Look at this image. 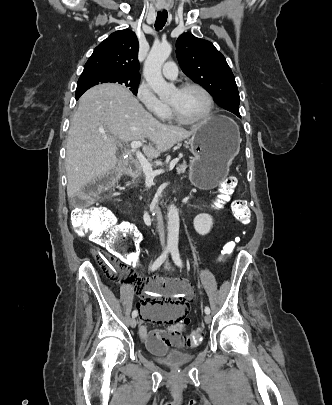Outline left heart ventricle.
<instances>
[{
  "label": "left heart ventricle",
  "instance_id": "obj_1",
  "mask_svg": "<svg viewBox=\"0 0 332 405\" xmlns=\"http://www.w3.org/2000/svg\"><path fill=\"white\" fill-rule=\"evenodd\" d=\"M182 117L186 119H196L202 116L208 107L205 95L197 89L185 91L174 90L168 99Z\"/></svg>",
  "mask_w": 332,
  "mask_h": 405
}]
</instances>
